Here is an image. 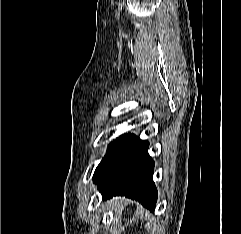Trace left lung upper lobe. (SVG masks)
<instances>
[{"instance_id":"5c2ea615","label":"left lung upper lobe","mask_w":241,"mask_h":234,"mask_svg":"<svg viewBox=\"0 0 241 234\" xmlns=\"http://www.w3.org/2000/svg\"><path fill=\"white\" fill-rule=\"evenodd\" d=\"M111 145H112V143L109 145V147H111ZM104 159H105V157L102 159L101 163H100V164L98 165V167L96 168L95 173H94V177H95V175L97 174L99 168L101 167V165H102ZM94 177H93V178H94Z\"/></svg>"}]
</instances>
